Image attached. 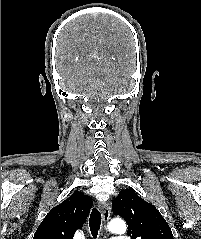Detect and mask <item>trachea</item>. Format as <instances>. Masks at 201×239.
<instances>
[{"mask_svg": "<svg viewBox=\"0 0 201 239\" xmlns=\"http://www.w3.org/2000/svg\"><path fill=\"white\" fill-rule=\"evenodd\" d=\"M100 225H101V213L98 209L94 208L89 218V227L94 239L97 238Z\"/></svg>", "mask_w": 201, "mask_h": 239, "instance_id": "obj_1", "label": "trachea"}]
</instances>
